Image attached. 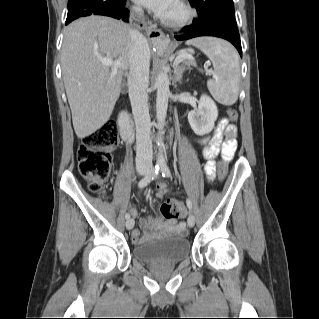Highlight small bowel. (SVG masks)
Listing matches in <instances>:
<instances>
[{
	"label": "small bowel",
	"instance_id": "1",
	"mask_svg": "<svg viewBox=\"0 0 319 319\" xmlns=\"http://www.w3.org/2000/svg\"><path fill=\"white\" fill-rule=\"evenodd\" d=\"M225 136V139L223 137ZM237 127L229 123L227 118H222L214 131V135L211 138H202L198 140V144L204 146L203 156L207 159L204 167V172L206 178L209 181H213L216 178V166L214 162V157L219 151H221L222 157L229 161L237 146ZM166 190L165 186L160 187V191L157 195L160 197L162 192ZM177 202L181 205L183 213L181 216L186 215V208L181 201ZM133 216L137 215V210L133 207L128 208ZM143 228L145 231V236L142 237L138 229H134L132 232V241L136 244H141L147 239L151 238L157 232L163 231H175L179 233H184L186 231V224L184 221L176 222H163V221H153L146 220L143 222Z\"/></svg>",
	"mask_w": 319,
	"mask_h": 319
}]
</instances>
